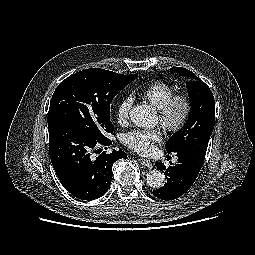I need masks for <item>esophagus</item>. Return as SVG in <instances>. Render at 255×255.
<instances>
[{"label": "esophagus", "mask_w": 255, "mask_h": 255, "mask_svg": "<svg viewBox=\"0 0 255 255\" xmlns=\"http://www.w3.org/2000/svg\"><path fill=\"white\" fill-rule=\"evenodd\" d=\"M139 161L145 167H148V168H152L153 167V165H152L150 160L141 158V159H139Z\"/></svg>", "instance_id": "1"}]
</instances>
